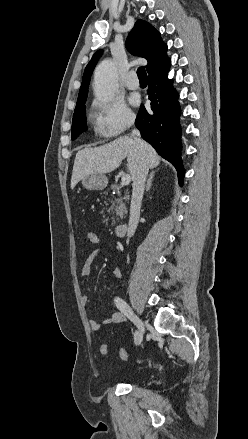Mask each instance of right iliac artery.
<instances>
[{"label":"right iliac artery","mask_w":248,"mask_h":439,"mask_svg":"<svg viewBox=\"0 0 248 439\" xmlns=\"http://www.w3.org/2000/svg\"><path fill=\"white\" fill-rule=\"evenodd\" d=\"M114 303L116 305V307L122 312L124 313V315H126L134 324L136 328H140L142 327L144 324L141 322L139 323V319L136 315H134V313L132 312L131 308L129 307V305L122 300L119 297H116L114 299Z\"/></svg>","instance_id":"right-iliac-artery-1"}]
</instances>
